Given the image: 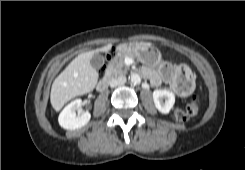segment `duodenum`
<instances>
[{"label": "duodenum", "mask_w": 245, "mask_h": 170, "mask_svg": "<svg viewBox=\"0 0 245 170\" xmlns=\"http://www.w3.org/2000/svg\"><path fill=\"white\" fill-rule=\"evenodd\" d=\"M126 45L124 43L118 44L116 45V50H120L122 48H124ZM109 84V75H105L101 78V80L99 81L98 85H97V91L98 92H103Z\"/></svg>", "instance_id": "obj_1"}]
</instances>
